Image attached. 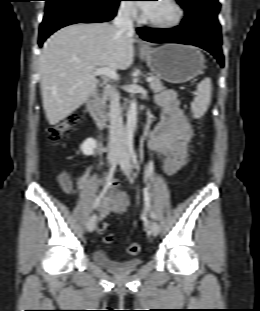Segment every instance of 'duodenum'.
I'll return each mask as SVG.
<instances>
[{
  "instance_id": "obj_1",
  "label": "duodenum",
  "mask_w": 260,
  "mask_h": 311,
  "mask_svg": "<svg viewBox=\"0 0 260 311\" xmlns=\"http://www.w3.org/2000/svg\"><path fill=\"white\" fill-rule=\"evenodd\" d=\"M86 108L90 116L99 124L108 120V114L103 110L96 89H93L86 98Z\"/></svg>"
}]
</instances>
